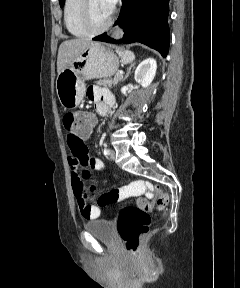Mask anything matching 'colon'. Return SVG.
Returning a JSON list of instances; mask_svg holds the SVG:
<instances>
[{"instance_id": "obj_1", "label": "colon", "mask_w": 240, "mask_h": 288, "mask_svg": "<svg viewBox=\"0 0 240 288\" xmlns=\"http://www.w3.org/2000/svg\"><path fill=\"white\" fill-rule=\"evenodd\" d=\"M63 126L68 136L82 137L91 132L94 126L92 114L82 111L68 112L63 117ZM150 190L154 193V200L141 199L137 205H129L122 208L118 219V231L124 243L126 251L135 254L140 246L141 239L148 232L151 222V211L154 206L164 209L168 202V194L158 186L147 182L135 183L132 192ZM99 206H106L121 199L119 189H112L99 197L92 196Z\"/></svg>"}]
</instances>
